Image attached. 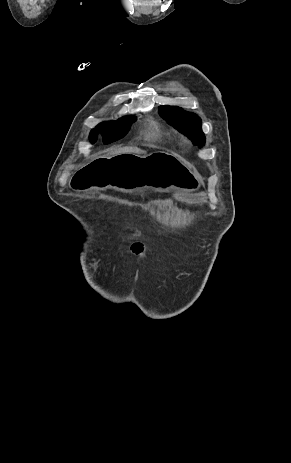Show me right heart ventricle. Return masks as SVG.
Instances as JSON below:
<instances>
[{"instance_id":"e07e8e85","label":"right heart ventricle","mask_w":291,"mask_h":463,"mask_svg":"<svg viewBox=\"0 0 291 463\" xmlns=\"http://www.w3.org/2000/svg\"><path fill=\"white\" fill-rule=\"evenodd\" d=\"M147 136L152 139H157L160 137V130L159 127L152 123L147 130Z\"/></svg>"}]
</instances>
